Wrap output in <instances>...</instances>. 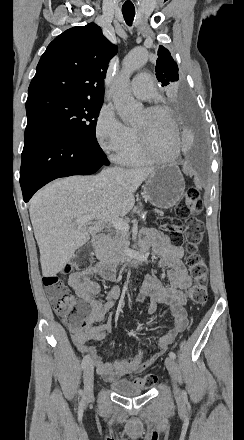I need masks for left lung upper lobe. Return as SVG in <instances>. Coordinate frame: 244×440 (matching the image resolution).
Masks as SVG:
<instances>
[{"instance_id":"1","label":"left lung upper lobe","mask_w":244,"mask_h":440,"mask_svg":"<svg viewBox=\"0 0 244 440\" xmlns=\"http://www.w3.org/2000/svg\"><path fill=\"white\" fill-rule=\"evenodd\" d=\"M155 71L156 77L158 81L161 82L162 87L179 79L178 66L171 57L169 51L163 46H159Z\"/></svg>"}]
</instances>
